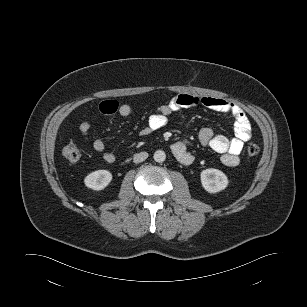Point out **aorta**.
Returning <instances> with one entry per match:
<instances>
[{
	"instance_id": "aorta-1",
	"label": "aorta",
	"mask_w": 307,
	"mask_h": 307,
	"mask_svg": "<svg viewBox=\"0 0 307 307\" xmlns=\"http://www.w3.org/2000/svg\"><path fill=\"white\" fill-rule=\"evenodd\" d=\"M153 158L156 162L162 163L166 159V154L163 150H157V151H155Z\"/></svg>"
}]
</instances>
